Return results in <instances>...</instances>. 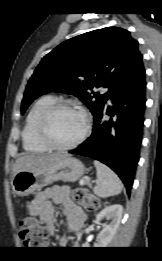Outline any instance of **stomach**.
Segmentation results:
<instances>
[{
  "instance_id": "0dacf381",
  "label": "stomach",
  "mask_w": 162,
  "mask_h": 261,
  "mask_svg": "<svg viewBox=\"0 0 162 261\" xmlns=\"http://www.w3.org/2000/svg\"><path fill=\"white\" fill-rule=\"evenodd\" d=\"M85 170L80 160L65 155L45 168L18 172L13 177L12 188L18 196H27L59 180L75 182Z\"/></svg>"
}]
</instances>
